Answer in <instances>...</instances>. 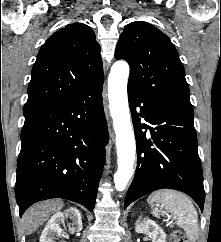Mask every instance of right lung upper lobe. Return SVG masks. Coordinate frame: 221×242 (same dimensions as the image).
<instances>
[{
	"mask_svg": "<svg viewBox=\"0 0 221 242\" xmlns=\"http://www.w3.org/2000/svg\"><path fill=\"white\" fill-rule=\"evenodd\" d=\"M100 77L103 64L94 31L83 23L69 24L40 48L24 112L63 102Z\"/></svg>",
	"mask_w": 221,
	"mask_h": 242,
	"instance_id": "cb5924a9",
	"label": "right lung upper lobe"
}]
</instances>
